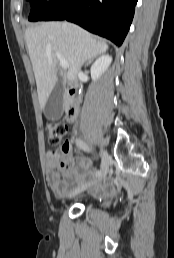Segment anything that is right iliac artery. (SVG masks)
<instances>
[{
	"label": "right iliac artery",
	"mask_w": 174,
	"mask_h": 258,
	"mask_svg": "<svg viewBox=\"0 0 174 258\" xmlns=\"http://www.w3.org/2000/svg\"><path fill=\"white\" fill-rule=\"evenodd\" d=\"M76 144H77L78 147H80L84 151H87V152L90 151L88 145L86 143H84L82 140L76 139ZM100 175H101V171H97L96 176H100Z\"/></svg>",
	"instance_id": "1"
}]
</instances>
